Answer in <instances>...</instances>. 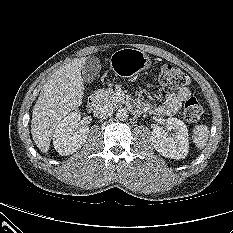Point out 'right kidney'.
I'll list each match as a JSON object with an SVG mask.
<instances>
[{
	"label": "right kidney",
	"instance_id": "1",
	"mask_svg": "<svg viewBox=\"0 0 233 233\" xmlns=\"http://www.w3.org/2000/svg\"><path fill=\"white\" fill-rule=\"evenodd\" d=\"M81 119V113L74 111L63 118L55 128L53 145L60 155H69L76 152L85 143L88 136V127L75 130Z\"/></svg>",
	"mask_w": 233,
	"mask_h": 233
}]
</instances>
